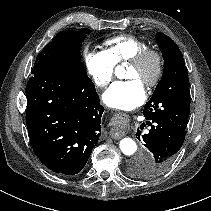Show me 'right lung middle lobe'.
Listing matches in <instances>:
<instances>
[{
  "instance_id": "dd1d6c3e",
  "label": "right lung middle lobe",
  "mask_w": 211,
  "mask_h": 211,
  "mask_svg": "<svg viewBox=\"0 0 211 211\" xmlns=\"http://www.w3.org/2000/svg\"><path fill=\"white\" fill-rule=\"evenodd\" d=\"M90 30L83 28L80 31H62L41 51V55L56 54L78 72L87 75L81 63V45Z\"/></svg>"
}]
</instances>
